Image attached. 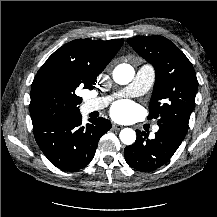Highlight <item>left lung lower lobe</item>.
Here are the masks:
<instances>
[{
	"instance_id": "0a47b994",
	"label": "left lung lower lobe",
	"mask_w": 217,
	"mask_h": 217,
	"mask_svg": "<svg viewBox=\"0 0 217 217\" xmlns=\"http://www.w3.org/2000/svg\"><path fill=\"white\" fill-rule=\"evenodd\" d=\"M137 139L124 150L125 160L130 167L139 171H152L165 164L175 153L187 132L169 125H159L154 139L145 132L136 131Z\"/></svg>"
}]
</instances>
